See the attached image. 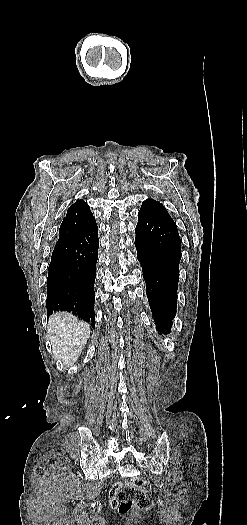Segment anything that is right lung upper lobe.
I'll use <instances>...</instances> for the list:
<instances>
[{"label": "right lung upper lobe", "instance_id": "obj_1", "mask_svg": "<svg viewBox=\"0 0 247 525\" xmlns=\"http://www.w3.org/2000/svg\"><path fill=\"white\" fill-rule=\"evenodd\" d=\"M95 218L89 205L82 199L72 204L59 230V239L56 244L69 240L95 225Z\"/></svg>", "mask_w": 247, "mask_h": 525}]
</instances>
